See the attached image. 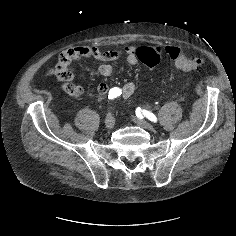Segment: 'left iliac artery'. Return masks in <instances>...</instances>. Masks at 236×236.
<instances>
[{
    "label": "left iliac artery",
    "instance_id": "obj_1",
    "mask_svg": "<svg viewBox=\"0 0 236 236\" xmlns=\"http://www.w3.org/2000/svg\"><path fill=\"white\" fill-rule=\"evenodd\" d=\"M136 116L139 118H142L144 116L152 122H155V123L157 122V117L153 113L147 110H141V108L139 107L136 109Z\"/></svg>",
    "mask_w": 236,
    "mask_h": 236
}]
</instances>
